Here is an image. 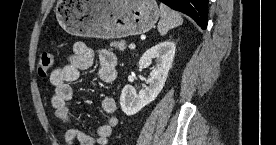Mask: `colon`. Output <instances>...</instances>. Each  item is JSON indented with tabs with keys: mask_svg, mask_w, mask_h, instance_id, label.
Returning <instances> with one entry per match:
<instances>
[{
	"mask_svg": "<svg viewBox=\"0 0 276 145\" xmlns=\"http://www.w3.org/2000/svg\"><path fill=\"white\" fill-rule=\"evenodd\" d=\"M53 66V54L50 52H43L38 58V73L40 76H47Z\"/></svg>",
	"mask_w": 276,
	"mask_h": 145,
	"instance_id": "5ec220e1",
	"label": "colon"
}]
</instances>
